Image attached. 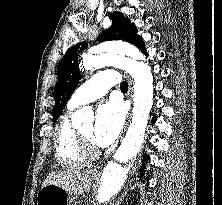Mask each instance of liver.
Segmentation results:
<instances>
[{"mask_svg":"<svg viewBox=\"0 0 222 205\" xmlns=\"http://www.w3.org/2000/svg\"><path fill=\"white\" fill-rule=\"evenodd\" d=\"M91 182L92 171L68 169L49 174L43 186L54 184L69 192L70 195H80L89 190Z\"/></svg>","mask_w":222,"mask_h":205,"instance_id":"obj_1","label":"liver"}]
</instances>
